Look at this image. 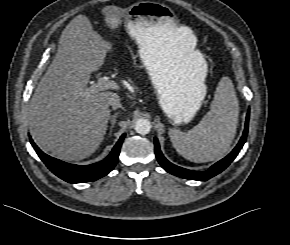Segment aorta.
Returning <instances> with one entry per match:
<instances>
[{
  "mask_svg": "<svg viewBox=\"0 0 290 245\" xmlns=\"http://www.w3.org/2000/svg\"><path fill=\"white\" fill-rule=\"evenodd\" d=\"M151 129V124L146 119H139L135 124V130L141 135L148 134Z\"/></svg>",
  "mask_w": 290,
  "mask_h": 245,
  "instance_id": "762f6f07",
  "label": "aorta"
}]
</instances>
